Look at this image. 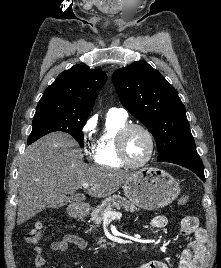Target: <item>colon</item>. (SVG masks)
I'll list each match as a JSON object with an SVG mask.
<instances>
[{
  "label": "colon",
  "mask_w": 221,
  "mask_h": 268,
  "mask_svg": "<svg viewBox=\"0 0 221 268\" xmlns=\"http://www.w3.org/2000/svg\"><path fill=\"white\" fill-rule=\"evenodd\" d=\"M189 201V197L186 195L181 196L178 199L179 205H185ZM45 229V224L43 222H37L26 234L25 241L28 244L35 245L40 242L43 236V231Z\"/></svg>",
  "instance_id": "colon-1"
}]
</instances>
